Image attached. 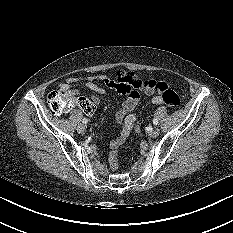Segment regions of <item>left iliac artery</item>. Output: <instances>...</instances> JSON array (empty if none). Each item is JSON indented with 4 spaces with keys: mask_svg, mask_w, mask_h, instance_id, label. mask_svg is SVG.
I'll return each mask as SVG.
<instances>
[{
    "mask_svg": "<svg viewBox=\"0 0 233 233\" xmlns=\"http://www.w3.org/2000/svg\"><path fill=\"white\" fill-rule=\"evenodd\" d=\"M153 124H155V125L158 124V120L156 118L153 119Z\"/></svg>",
    "mask_w": 233,
    "mask_h": 233,
    "instance_id": "1",
    "label": "left iliac artery"
}]
</instances>
